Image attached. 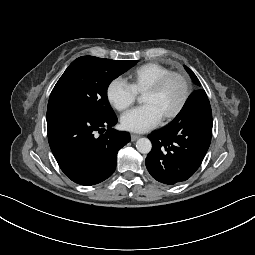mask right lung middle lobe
Segmentation results:
<instances>
[{
    "label": "right lung middle lobe",
    "instance_id": "obj_1",
    "mask_svg": "<svg viewBox=\"0 0 255 255\" xmlns=\"http://www.w3.org/2000/svg\"><path fill=\"white\" fill-rule=\"evenodd\" d=\"M137 62L93 56L77 58L53 88L48 108L72 107L101 117L113 116L115 113L108 102L107 88L112 80Z\"/></svg>",
    "mask_w": 255,
    "mask_h": 255
}]
</instances>
